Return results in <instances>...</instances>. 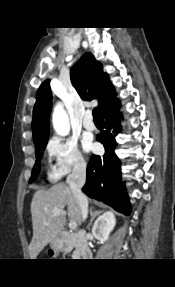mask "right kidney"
I'll return each mask as SVG.
<instances>
[{"mask_svg": "<svg viewBox=\"0 0 175 287\" xmlns=\"http://www.w3.org/2000/svg\"><path fill=\"white\" fill-rule=\"evenodd\" d=\"M116 225V218L112 212H105L99 216L92 228L93 236L100 241H107Z\"/></svg>", "mask_w": 175, "mask_h": 287, "instance_id": "right-kidney-1", "label": "right kidney"}]
</instances>
